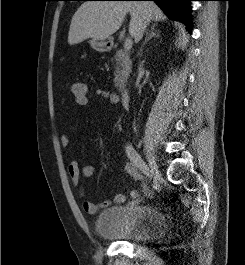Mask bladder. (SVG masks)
Masks as SVG:
<instances>
[{
  "instance_id": "1",
  "label": "bladder",
  "mask_w": 245,
  "mask_h": 265,
  "mask_svg": "<svg viewBox=\"0 0 245 265\" xmlns=\"http://www.w3.org/2000/svg\"><path fill=\"white\" fill-rule=\"evenodd\" d=\"M96 233L126 242H145L161 237L167 225L161 212L147 204L113 206L103 209L95 219Z\"/></svg>"
}]
</instances>
